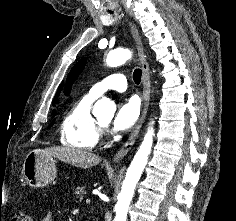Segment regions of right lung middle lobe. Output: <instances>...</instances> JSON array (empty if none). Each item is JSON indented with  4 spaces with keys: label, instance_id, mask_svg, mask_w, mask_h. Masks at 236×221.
Listing matches in <instances>:
<instances>
[{
    "label": "right lung middle lobe",
    "instance_id": "right-lung-middle-lobe-1",
    "mask_svg": "<svg viewBox=\"0 0 236 221\" xmlns=\"http://www.w3.org/2000/svg\"><path fill=\"white\" fill-rule=\"evenodd\" d=\"M53 115H54V116L56 115V112H55V111H53ZM53 123H54V121L52 122V124H50L49 127H51V126L53 125Z\"/></svg>",
    "mask_w": 236,
    "mask_h": 221
}]
</instances>
